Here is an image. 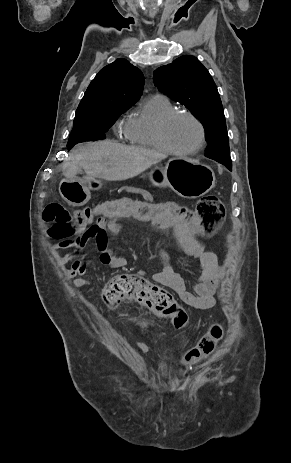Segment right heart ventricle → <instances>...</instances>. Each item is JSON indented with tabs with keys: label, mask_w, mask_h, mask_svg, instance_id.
<instances>
[{
	"label": "right heart ventricle",
	"mask_w": 291,
	"mask_h": 463,
	"mask_svg": "<svg viewBox=\"0 0 291 463\" xmlns=\"http://www.w3.org/2000/svg\"><path fill=\"white\" fill-rule=\"evenodd\" d=\"M173 110H176L175 107L163 95L146 98L127 122L129 142L136 146L163 150L157 140L156 127L161 118Z\"/></svg>",
	"instance_id": "obj_1"
}]
</instances>
